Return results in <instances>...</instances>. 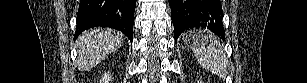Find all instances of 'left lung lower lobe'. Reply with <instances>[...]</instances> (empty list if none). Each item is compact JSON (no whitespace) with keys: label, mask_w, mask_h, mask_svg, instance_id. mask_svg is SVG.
<instances>
[{"label":"left lung lower lobe","mask_w":307,"mask_h":83,"mask_svg":"<svg viewBox=\"0 0 307 83\" xmlns=\"http://www.w3.org/2000/svg\"><path fill=\"white\" fill-rule=\"evenodd\" d=\"M175 40L186 30L203 27L224 39L223 10L219 0H169Z\"/></svg>","instance_id":"0a47b994"}]
</instances>
